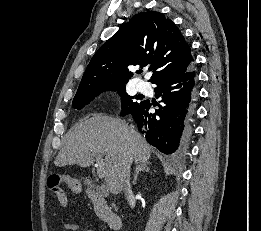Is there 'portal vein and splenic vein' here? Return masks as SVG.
I'll return each instance as SVG.
<instances>
[{"label": "portal vein and splenic vein", "mask_w": 261, "mask_h": 231, "mask_svg": "<svg viewBox=\"0 0 261 231\" xmlns=\"http://www.w3.org/2000/svg\"><path fill=\"white\" fill-rule=\"evenodd\" d=\"M97 175L99 178H104L105 176V162L101 154L96 155Z\"/></svg>", "instance_id": "18ae733b"}]
</instances>
